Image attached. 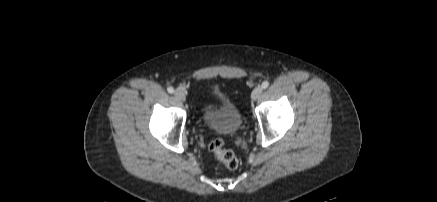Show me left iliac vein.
I'll return each instance as SVG.
<instances>
[{"mask_svg":"<svg viewBox=\"0 0 437 202\" xmlns=\"http://www.w3.org/2000/svg\"><path fill=\"white\" fill-rule=\"evenodd\" d=\"M263 88L261 86H257L254 88V90L251 93V99L257 100L260 95L262 94Z\"/></svg>","mask_w":437,"mask_h":202,"instance_id":"1","label":"left iliac vein"}]
</instances>
